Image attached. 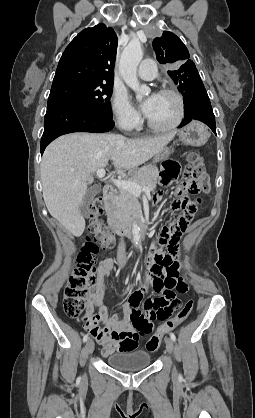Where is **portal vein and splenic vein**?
<instances>
[{"instance_id": "1", "label": "portal vein and splenic vein", "mask_w": 255, "mask_h": 418, "mask_svg": "<svg viewBox=\"0 0 255 418\" xmlns=\"http://www.w3.org/2000/svg\"><path fill=\"white\" fill-rule=\"evenodd\" d=\"M97 175L99 178H110V180L118 187L129 191L132 194L139 195L141 192L150 193V189L148 187H142L136 182H132L130 180H121L115 179L113 177L107 176L105 177V169H98Z\"/></svg>"}]
</instances>
